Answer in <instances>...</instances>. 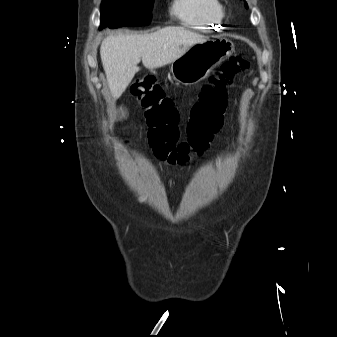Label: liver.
Segmentation results:
<instances>
[{
  "instance_id": "6515ba94",
  "label": "liver",
  "mask_w": 337,
  "mask_h": 337,
  "mask_svg": "<svg viewBox=\"0 0 337 337\" xmlns=\"http://www.w3.org/2000/svg\"><path fill=\"white\" fill-rule=\"evenodd\" d=\"M200 34L182 27H165L150 34H122L106 37L100 47L101 61L112 96L116 99L126 90L140 70L139 62L148 69L172 63L186 50L205 41Z\"/></svg>"
}]
</instances>
